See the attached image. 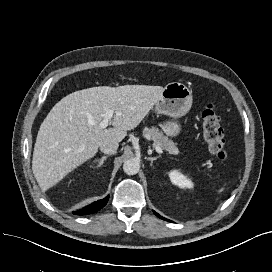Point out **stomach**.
<instances>
[{
  "mask_svg": "<svg viewBox=\"0 0 272 272\" xmlns=\"http://www.w3.org/2000/svg\"><path fill=\"white\" fill-rule=\"evenodd\" d=\"M192 101V92L185 84L171 82L165 86L155 104V111L170 118L160 124L166 135L175 137L181 132L178 119L190 110Z\"/></svg>",
  "mask_w": 272,
  "mask_h": 272,
  "instance_id": "stomach-1",
  "label": "stomach"
}]
</instances>
